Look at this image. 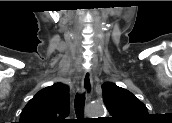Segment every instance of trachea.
I'll list each match as a JSON object with an SVG mask.
<instances>
[{
    "mask_svg": "<svg viewBox=\"0 0 172 123\" xmlns=\"http://www.w3.org/2000/svg\"><path fill=\"white\" fill-rule=\"evenodd\" d=\"M74 105H75V112L78 117L77 120H82L83 119L82 115H83L84 106H85V93L81 96L76 95Z\"/></svg>",
    "mask_w": 172,
    "mask_h": 123,
    "instance_id": "trachea-1",
    "label": "trachea"
}]
</instances>
